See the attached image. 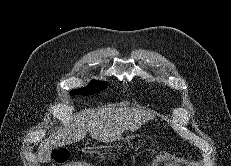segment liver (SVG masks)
Here are the masks:
<instances>
[{"instance_id": "obj_1", "label": "liver", "mask_w": 231, "mask_h": 166, "mask_svg": "<svg viewBox=\"0 0 231 166\" xmlns=\"http://www.w3.org/2000/svg\"><path fill=\"white\" fill-rule=\"evenodd\" d=\"M149 110L139 108H102L77 113L70 122L60 128L38 147V160L46 162L56 147L78 142L89 132L98 141L109 142L121 139L125 131L139 129L145 122L154 119Z\"/></svg>"}]
</instances>
